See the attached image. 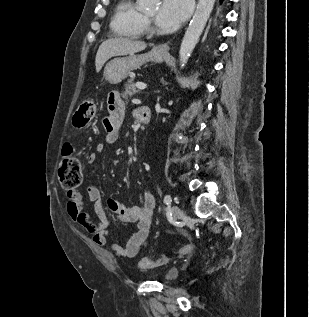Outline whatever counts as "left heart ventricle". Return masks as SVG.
Instances as JSON below:
<instances>
[{
  "label": "left heart ventricle",
  "instance_id": "1",
  "mask_svg": "<svg viewBox=\"0 0 309 317\" xmlns=\"http://www.w3.org/2000/svg\"><path fill=\"white\" fill-rule=\"evenodd\" d=\"M151 17L155 16V12L149 14Z\"/></svg>",
  "mask_w": 309,
  "mask_h": 317
}]
</instances>
